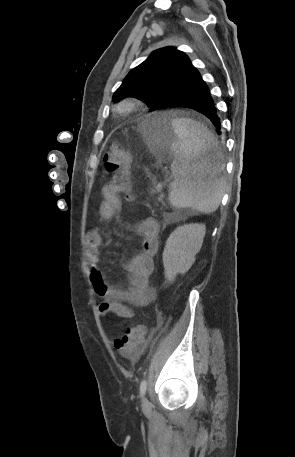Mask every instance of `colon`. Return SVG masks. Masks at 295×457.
<instances>
[{"label": "colon", "mask_w": 295, "mask_h": 457, "mask_svg": "<svg viewBox=\"0 0 295 457\" xmlns=\"http://www.w3.org/2000/svg\"><path fill=\"white\" fill-rule=\"evenodd\" d=\"M104 169L114 175L116 180H121L126 185V197L131 199V156L128 151L122 149L118 144H112L109 152L104 156ZM146 339V332L143 325L139 324L125 330L122 337L118 338L114 345L116 349L124 354H131L137 350Z\"/></svg>", "instance_id": "5ec220e1"}]
</instances>
